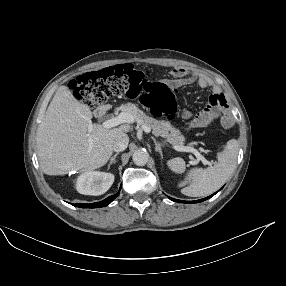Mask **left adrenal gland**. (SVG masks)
<instances>
[{"label": "left adrenal gland", "instance_id": "left-adrenal-gland-1", "mask_svg": "<svg viewBox=\"0 0 286 286\" xmlns=\"http://www.w3.org/2000/svg\"><path fill=\"white\" fill-rule=\"evenodd\" d=\"M154 144H155V150L157 152H159L160 156L163 158V154H162V147H161V144L159 142L156 141V139L154 137H151Z\"/></svg>", "mask_w": 286, "mask_h": 286}]
</instances>
